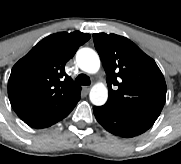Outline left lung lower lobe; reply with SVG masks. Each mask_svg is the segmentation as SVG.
Wrapping results in <instances>:
<instances>
[{
	"mask_svg": "<svg viewBox=\"0 0 181 164\" xmlns=\"http://www.w3.org/2000/svg\"><path fill=\"white\" fill-rule=\"evenodd\" d=\"M97 121L109 132L125 138L147 131L156 120L143 116L114 102L93 107Z\"/></svg>",
	"mask_w": 181,
	"mask_h": 164,
	"instance_id": "1",
	"label": "left lung lower lobe"
}]
</instances>
